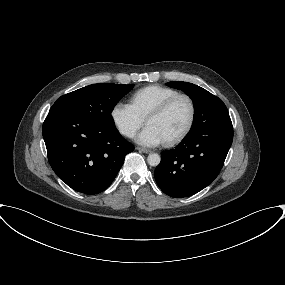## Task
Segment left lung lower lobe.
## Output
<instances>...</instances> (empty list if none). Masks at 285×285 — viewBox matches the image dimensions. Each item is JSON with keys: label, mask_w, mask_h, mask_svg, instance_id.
Masks as SVG:
<instances>
[{"label": "left lung lower lobe", "mask_w": 285, "mask_h": 285, "mask_svg": "<svg viewBox=\"0 0 285 285\" xmlns=\"http://www.w3.org/2000/svg\"><path fill=\"white\" fill-rule=\"evenodd\" d=\"M232 141V127L188 133L174 149L161 153L154 173L158 186L175 198L201 191L218 176Z\"/></svg>", "instance_id": "0a47b994"}]
</instances>
